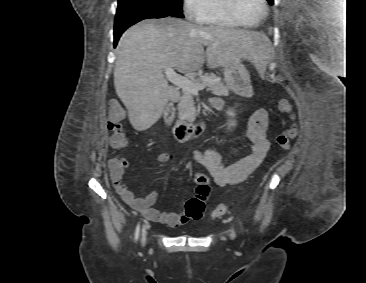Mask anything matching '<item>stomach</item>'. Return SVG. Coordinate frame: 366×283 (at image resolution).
Segmentation results:
<instances>
[{
	"label": "stomach",
	"instance_id": "0dacf381",
	"mask_svg": "<svg viewBox=\"0 0 366 283\" xmlns=\"http://www.w3.org/2000/svg\"><path fill=\"white\" fill-rule=\"evenodd\" d=\"M222 67L227 87L236 93H240L242 90L243 76L248 78V73L242 65L241 60L225 63Z\"/></svg>",
	"mask_w": 366,
	"mask_h": 283
}]
</instances>
